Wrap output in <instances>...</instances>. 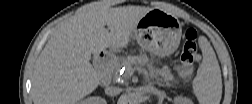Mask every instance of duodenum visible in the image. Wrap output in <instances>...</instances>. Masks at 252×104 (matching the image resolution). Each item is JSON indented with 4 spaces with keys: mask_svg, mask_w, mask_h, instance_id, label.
Segmentation results:
<instances>
[{
    "mask_svg": "<svg viewBox=\"0 0 252 104\" xmlns=\"http://www.w3.org/2000/svg\"><path fill=\"white\" fill-rule=\"evenodd\" d=\"M98 59L103 63H109L110 62L109 56L104 52L99 54Z\"/></svg>",
    "mask_w": 252,
    "mask_h": 104,
    "instance_id": "410a0bca",
    "label": "duodenum"
}]
</instances>
